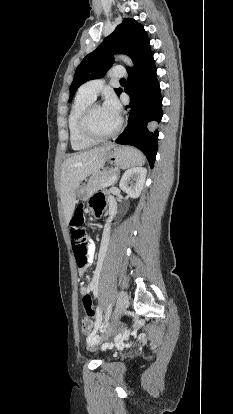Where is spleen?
Returning <instances> with one entry per match:
<instances>
[{
	"instance_id": "obj_1",
	"label": "spleen",
	"mask_w": 233,
	"mask_h": 414,
	"mask_svg": "<svg viewBox=\"0 0 233 414\" xmlns=\"http://www.w3.org/2000/svg\"><path fill=\"white\" fill-rule=\"evenodd\" d=\"M137 153L140 154V158H138L137 161L132 166H141L144 164V157L139 151H137Z\"/></svg>"
}]
</instances>
